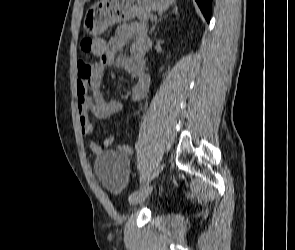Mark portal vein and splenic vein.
<instances>
[{"mask_svg": "<svg viewBox=\"0 0 295 250\" xmlns=\"http://www.w3.org/2000/svg\"><path fill=\"white\" fill-rule=\"evenodd\" d=\"M156 19H157V17H152V18H151V20H156Z\"/></svg>", "mask_w": 295, "mask_h": 250, "instance_id": "obj_1", "label": "portal vein and splenic vein"}]
</instances>
